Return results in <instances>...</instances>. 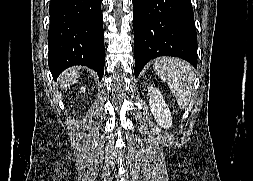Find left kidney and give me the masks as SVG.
Returning <instances> with one entry per match:
<instances>
[{
  "mask_svg": "<svg viewBox=\"0 0 253 181\" xmlns=\"http://www.w3.org/2000/svg\"><path fill=\"white\" fill-rule=\"evenodd\" d=\"M148 94L151 112L156 122L161 127L169 129L172 126V116L162 94L153 86L148 87Z\"/></svg>",
  "mask_w": 253,
  "mask_h": 181,
  "instance_id": "1",
  "label": "left kidney"
}]
</instances>
